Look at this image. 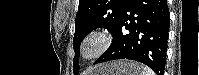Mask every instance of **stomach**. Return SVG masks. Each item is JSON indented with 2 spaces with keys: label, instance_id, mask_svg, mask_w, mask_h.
Listing matches in <instances>:
<instances>
[{
  "label": "stomach",
  "instance_id": "obj_1",
  "mask_svg": "<svg viewBox=\"0 0 199 75\" xmlns=\"http://www.w3.org/2000/svg\"><path fill=\"white\" fill-rule=\"evenodd\" d=\"M141 67L133 61H114L95 66L90 75H141Z\"/></svg>",
  "mask_w": 199,
  "mask_h": 75
}]
</instances>
